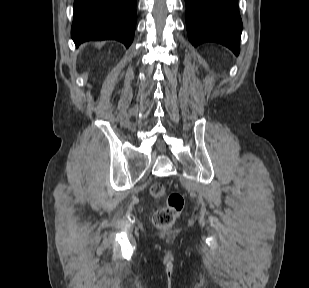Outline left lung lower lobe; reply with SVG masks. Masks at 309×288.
Wrapping results in <instances>:
<instances>
[{
    "instance_id": "1",
    "label": "left lung lower lobe",
    "mask_w": 309,
    "mask_h": 288,
    "mask_svg": "<svg viewBox=\"0 0 309 288\" xmlns=\"http://www.w3.org/2000/svg\"><path fill=\"white\" fill-rule=\"evenodd\" d=\"M186 24L193 46L217 42L239 55L242 21L238 0H185Z\"/></svg>"
}]
</instances>
